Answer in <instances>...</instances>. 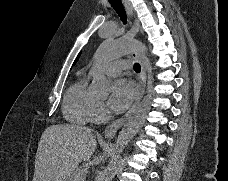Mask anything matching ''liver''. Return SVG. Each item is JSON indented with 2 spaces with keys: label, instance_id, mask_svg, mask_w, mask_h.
<instances>
[{
  "label": "liver",
  "instance_id": "liver-1",
  "mask_svg": "<svg viewBox=\"0 0 228 181\" xmlns=\"http://www.w3.org/2000/svg\"><path fill=\"white\" fill-rule=\"evenodd\" d=\"M92 131L77 125L47 127L38 143L33 181H67L78 165L90 161L96 151Z\"/></svg>",
  "mask_w": 228,
  "mask_h": 181
}]
</instances>
